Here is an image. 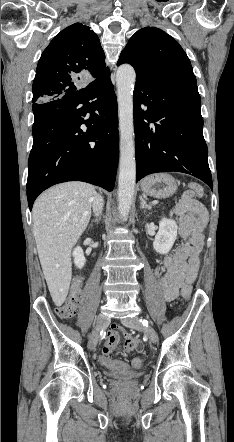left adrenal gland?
<instances>
[{
	"instance_id": "a2214340",
	"label": "left adrenal gland",
	"mask_w": 234,
	"mask_h": 442,
	"mask_svg": "<svg viewBox=\"0 0 234 442\" xmlns=\"http://www.w3.org/2000/svg\"><path fill=\"white\" fill-rule=\"evenodd\" d=\"M139 198H140V208L151 210L152 206L150 204H147V202L143 199L142 196H140Z\"/></svg>"
}]
</instances>
